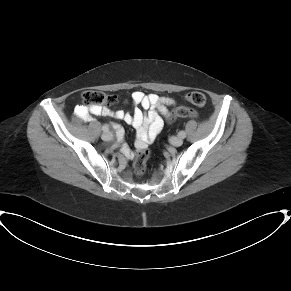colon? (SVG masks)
<instances>
[{
  "instance_id": "1",
  "label": "colon",
  "mask_w": 291,
  "mask_h": 291,
  "mask_svg": "<svg viewBox=\"0 0 291 291\" xmlns=\"http://www.w3.org/2000/svg\"><path fill=\"white\" fill-rule=\"evenodd\" d=\"M82 99L84 102V106L87 109H93L98 107H108L114 105L117 102V97L102 92L100 90H88L82 94ZM185 101L189 104L195 106H203L206 103V97L202 92L195 91L190 92L185 96ZM192 118L195 117V113L186 108H179L173 112H171L167 118L168 123H173L178 118ZM150 156V151L146 148L141 149L135 158L133 169L134 172L141 176L144 174L146 170V162Z\"/></svg>"
}]
</instances>
